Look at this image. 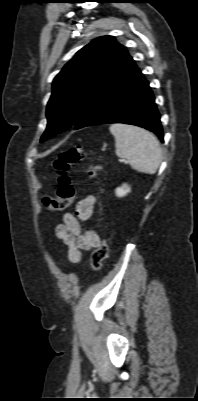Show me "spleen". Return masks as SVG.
I'll return each mask as SVG.
<instances>
[{"instance_id":"obj_1","label":"spleen","mask_w":198,"mask_h":401,"mask_svg":"<svg viewBox=\"0 0 198 401\" xmlns=\"http://www.w3.org/2000/svg\"><path fill=\"white\" fill-rule=\"evenodd\" d=\"M115 138V153L125 158L132 169L155 174L162 161V149L157 138L149 131L125 124L109 128Z\"/></svg>"}]
</instances>
